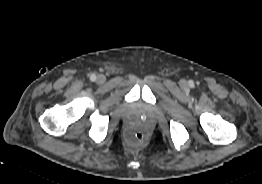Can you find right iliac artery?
I'll return each mask as SVG.
<instances>
[{
  "label": "right iliac artery",
  "mask_w": 262,
  "mask_h": 184,
  "mask_svg": "<svg viewBox=\"0 0 262 184\" xmlns=\"http://www.w3.org/2000/svg\"><path fill=\"white\" fill-rule=\"evenodd\" d=\"M90 80H91V81H95V80H96V75H95V74H92V75L90 76Z\"/></svg>",
  "instance_id": "1"
}]
</instances>
